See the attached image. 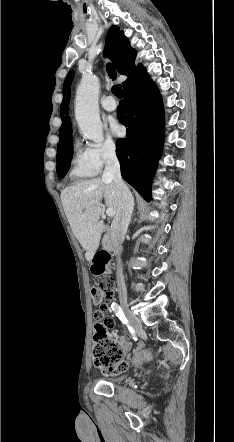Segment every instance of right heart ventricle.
<instances>
[{
  "mask_svg": "<svg viewBox=\"0 0 234 442\" xmlns=\"http://www.w3.org/2000/svg\"><path fill=\"white\" fill-rule=\"evenodd\" d=\"M97 173L98 169L91 159L89 148L83 147L79 143H76L74 145V152L70 161V177L76 180H82L92 178Z\"/></svg>",
  "mask_w": 234,
  "mask_h": 442,
  "instance_id": "1",
  "label": "right heart ventricle"
}]
</instances>
